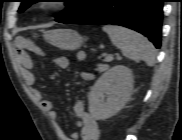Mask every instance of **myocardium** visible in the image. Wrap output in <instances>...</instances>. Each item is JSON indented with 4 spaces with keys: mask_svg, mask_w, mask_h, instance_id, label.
<instances>
[{
    "mask_svg": "<svg viewBox=\"0 0 182 140\" xmlns=\"http://www.w3.org/2000/svg\"><path fill=\"white\" fill-rule=\"evenodd\" d=\"M57 7H58L57 5H49L47 8L54 9V8H57Z\"/></svg>",
    "mask_w": 182,
    "mask_h": 140,
    "instance_id": "1",
    "label": "myocardium"
}]
</instances>
